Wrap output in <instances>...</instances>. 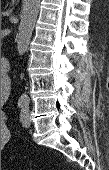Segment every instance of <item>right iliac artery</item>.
<instances>
[{"label": "right iliac artery", "instance_id": "1", "mask_svg": "<svg viewBox=\"0 0 109 170\" xmlns=\"http://www.w3.org/2000/svg\"><path fill=\"white\" fill-rule=\"evenodd\" d=\"M18 106H19V107H23V103H22V102H19V103H18Z\"/></svg>", "mask_w": 109, "mask_h": 170}]
</instances>
